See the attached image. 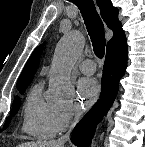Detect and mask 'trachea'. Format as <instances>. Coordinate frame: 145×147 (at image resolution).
Returning a JSON list of instances; mask_svg holds the SVG:
<instances>
[{
    "label": "trachea",
    "mask_w": 145,
    "mask_h": 147,
    "mask_svg": "<svg viewBox=\"0 0 145 147\" xmlns=\"http://www.w3.org/2000/svg\"><path fill=\"white\" fill-rule=\"evenodd\" d=\"M80 9L95 55L102 58L105 53V33L103 22L98 15L93 0H74Z\"/></svg>",
    "instance_id": "trachea-1"
}]
</instances>
